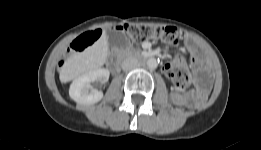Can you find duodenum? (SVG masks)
I'll return each instance as SVG.
<instances>
[{
  "instance_id": "1",
  "label": "duodenum",
  "mask_w": 261,
  "mask_h": 150,
  "mask_svg": "<svg viewBox=\"0 0 261 150\" xmlns=\"http://www.w3.org/2000/svg\"><path fill=\"white\" fill-rule=\"evenodd\" d=\"M148 56L152 57L151 54H149ZM109 65L111 67L112 70L116 71L119 67V59L118 57H112L109 61Z\"/></svg>"
}]
</instances>
